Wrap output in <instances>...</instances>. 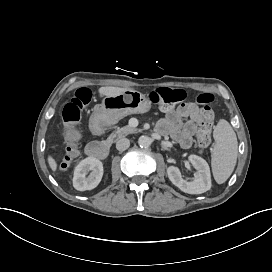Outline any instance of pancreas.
Returning a JSON list of instances; mask_svg holds the SVG:
<instances>
[{"label": "pancreas", "instance_id": "pancreas-1", "mask_svg": "<svg viewBox=\"0 0 272 272\" xmlns=\"http://www.w3.org/2000/svg\"><path fill=\"white\" fill-rule=\"evenodd\" d=\"M118 118H114V119H109L108 124H116L118 122ZM137 131L136 128L131 127L129 125H126L124 127H117V129L112 132L110 134V136L108 137L107 141L109 143H113L116 142L118 139L123 138L125 136H127L128 134H132L135 133Z\"/></svg>", "mask_w": 272, "mask_h": 272}]
</instances>
